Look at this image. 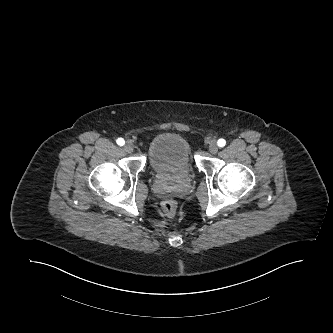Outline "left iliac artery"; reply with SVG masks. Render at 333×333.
<instances>
[{
    "label": "left iliac artery",
    "instance_id": "44dca946",
    "mask_svg": "<svg viewBox=\"0 0 333 333\" xmlns=\"http://www.w3.org/2000/svg\"><path fill=\"white\" fill-rule=\"evenodd\" d=\"M217 144H218V146L219 147H223V146H225V144H226V141L224 140V139H219L218 141H217Z\"/></svg>",
    "mask_w": 333,
    "mask_h": 333
}]
</instances>
